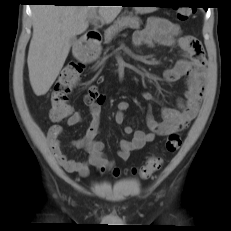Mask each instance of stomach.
<instances>
[{
	"instance_id": "stomach-1",
	"label": "stomach",
	"mask_w": 231,
	"mask_h": 231,
	"mask_svg": "<svg viewBox=\"0 0 231 231\" xmlns=\"http://www.w3.org/2000/svg\"><path fill=\"white\" fill-rule=\"evenodd\" d=\"M139 4H158L159 2L156 0H139L136 1ZM152 6V5H151ZM136 13L144 14V13H150L157 9V7H134ZM100 54V48L95 47L92 51L88 53L86 56L87 61H93L95 60Z\"/></svg>"
}]
</instances>
